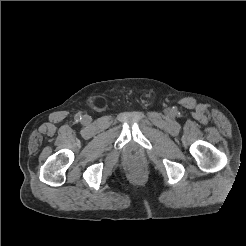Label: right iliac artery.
I'll return each mask as SVG.
<instances>
[{"mask_svg": "<svg viewBox=\"0 0 246 246\" xmlns=\"http://www.w3.org/2000/svg\"><path fill=\"white\" fill-rule=\"evenodd\" d=\"M82 119V116H81V114H77L76 116H75V120L78 122V121H80Z\"/></svg>", "mask_w": 246, "mask_h": 246, "instance_id": "82829eb1", "label": "right iliac artery"}]
</instances>
